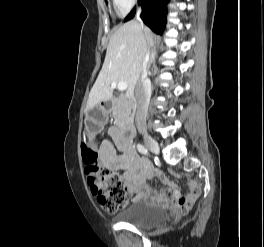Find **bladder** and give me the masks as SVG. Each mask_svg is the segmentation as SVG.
I'll return each instance as SVG.
<instances>
[{
  "label": "bladder",
  "mask_w": 264,
  "mask_h": 247,
  "mask_svg": "<svg viewBox=\"0 0 264 247\" xmlns=\"http://www.w3.org/2000/svg\"><path fill=\"white\" fill-rule=\"evenodd\" d=\"M121 222L129 223L144 229H153L167 223L169 211L166 208L135 201L117 217Z\"/></svg>",
  "instance_id": "31cf9c89"
}]
</instances>
